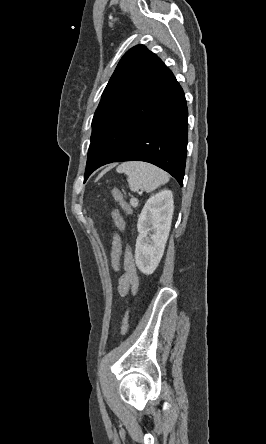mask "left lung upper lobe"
Segmentation results:
<instances>
[{"label":"left lung upper lobe","instance_id":"5c2ea615","mask_svg":"<svg viewBox=\"0 0 266 444\" xmlns=\"http://www.w3.org/2000/svg\"><path fill=\"white\" fill-rule=\"evenodd\" d=\"M172 72L144 45L131 48L118 63L103 94L92 121L96 132L113 115L144 95Z\"/></svg>","mask_w":266,"mask_h":444}]
</instances>
